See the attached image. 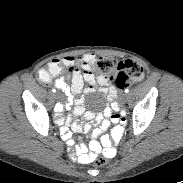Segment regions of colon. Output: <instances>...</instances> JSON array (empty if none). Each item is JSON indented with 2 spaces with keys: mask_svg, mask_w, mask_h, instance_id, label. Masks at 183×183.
Returning a JSON list of instances; mask_svg holds the SVG:
<instances>
[{
  "mask_svg": "<svg viewBox=\"0 0 183 183\" xmlns=\"http://www.w3.org/2000/svg\"><path fill=\"white\" fill-rule=\"evenodd\" d=\"M95 67L106 78L114 81L117 89H123L140 81L144 76V67L132 60H117L114 57H101L95 62ZM57 75L54 69H44L39 72V79L50 82ZM88 161L97 166H104L107 163L106 157H88Z\"/></svg>",
  "mask_w": 183,
  "mask_h": 183,
  "instance_id": "1",
  "label": "colon"
}]
</instances>
